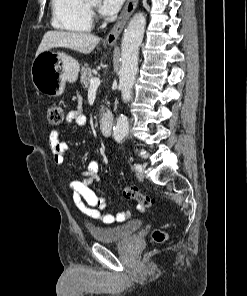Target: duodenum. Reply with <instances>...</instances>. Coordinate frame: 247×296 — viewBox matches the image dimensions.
Returning <instances> with one entry per match:
<instances>
[{
    "instance_id": "1",
    "label": "duodenum",
    "mask_w": 247,
    "mask_h": 296,
    "mask_svg": "<svg viewBox=\"0 0 247 296\" xmlns=\"http://www.w3.org/2000/svg\"><path fill=\"white\" fill-rule=\"evenodd\" d=\"M114 126V119L110 113H104L99 118V128L104 136H111Z\"/></svg>"
}]
</instances>
